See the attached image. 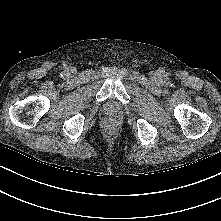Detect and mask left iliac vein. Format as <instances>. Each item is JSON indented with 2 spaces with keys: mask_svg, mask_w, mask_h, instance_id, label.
Masks as SVG:
<instances>
[{
  "mask_svg": "<svg viewBox=\"0 0 221 221\" xmlns=\"http://www.w3.org/2000/svg\"><path fill=\"white\" fill-rule=\"evenodd\" d=\"M153 77H154V78H157V77H158V74H157V73H154V74H153Z\"/></svg>",
  "mask_w": 221,
  "mask_h": 221,
  "instance_id": "1",
  "label": "left iliac vein"
}]
</instances>
